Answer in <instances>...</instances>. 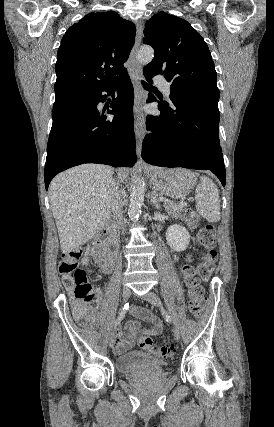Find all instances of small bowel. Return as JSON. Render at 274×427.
<instances>
[{"mask_svg":"<svg viewBox=\"0 0 274 427\" xmlns=\"http://www.w3.org/2000/svg\"><path fill=\"white\" fill-rule=\"evenodd\" d=\"M210 256L217 257L220 251H208ZM206 254V251H203ZM175 259L177 257L175 256ZM188 261L192 260V255L186 256ZM91 260H93L99 267L103 274H110L113 269V259L110 252L107 250L105 245L97 241L84 249L83 257L81 258V265L87 266ZM212 261H202L199 264L197 276L199 278H210L212 276V269L214 268ZM72 312L76 320L82 321L87 326H94L98 319L97 313L93 305L82 302L74 301L72 304ZM139 317V316H138ZM145 322L151 324L150 328H141L140 324L136 320H130L125 326L124 333L118 331L113 338V348L117 354H122L131 349L137 342L138 336H158L163 330V324L161 320L155 316L147 313L144 317H139Z\"/></svg>","mask_w":274,"mask_h":427,"instance_id":"obj_1","label":"small bowel"}]
</instances>
